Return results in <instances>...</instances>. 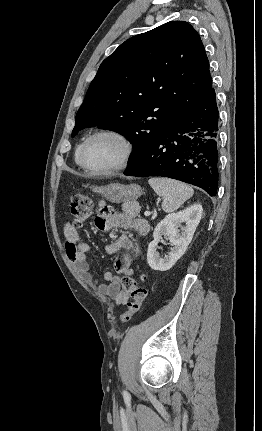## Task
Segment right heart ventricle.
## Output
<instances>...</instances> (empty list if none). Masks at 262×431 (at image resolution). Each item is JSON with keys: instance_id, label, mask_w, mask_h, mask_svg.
I'll return each mask as SVG.
<instances>
[{"instance_id": "obj_1", "label": "right heart ventricle", "mask_w": 262, "mask_h": 431, "mask_svg": "<svg viewBox=\"0 0 262 431\" xmlns=\"http://www.w3.org/2000/svg\"><path fill=\"white\" fill-rule=\"evenodd\" d=\"M82 144H83V143H80V144L77 146V148H76V150H75V153H74V161H75V163H76V165H77V166H81V165H80V163H79V153H80V150H81Z\"/></svg>"}]
</instances>
